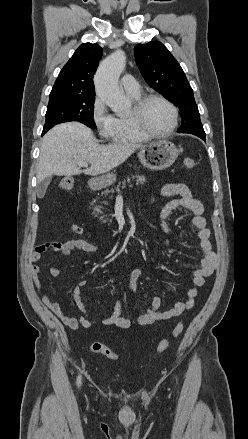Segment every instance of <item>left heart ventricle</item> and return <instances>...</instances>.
Here are the masks:
<instances>
[{
  "label": "left heart ventricle",
  "mask_w": 248,
  "mask_h": 439,
  "mask_svg": "<svg viewBox=\"0 0 248 439\" xmlns=\"http://www.w3.org/2000/svg\"><path fill=\"white\" fill-rule=\"evenodd\" d=\"M144 117L147 127L156 133L168 131L173 123L171 109L160 100H152L147 104Z\"/></svg>",
  "instance_id": "1"
}]
</instances>
